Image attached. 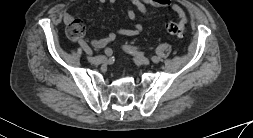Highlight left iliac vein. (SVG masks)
I'll list each match as a JSON object with an SVG mask.
<instances>
[{"mask_svg": "<svg viewBox=\"0 0 253 138\" xmlns=\"http://www.w3.org/2000/svg\"><path fill=\"white\" fill-rule=\"evenodd\" d=\"M128 52L130 51V49L129 48H127L126 49ZM133 56H134V59H135V61L137 62V63H140V64H143V65H148L149 63H150V60L147 58V57H145V56H143V55H141V54H139V53H133Z\"/></svg>", "mask_w": 253, "mask_h": 138, "instance_id": "obj_1", "label": "left iliac vein"}]
</instances>
